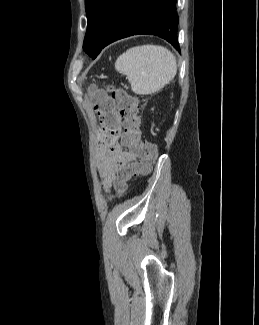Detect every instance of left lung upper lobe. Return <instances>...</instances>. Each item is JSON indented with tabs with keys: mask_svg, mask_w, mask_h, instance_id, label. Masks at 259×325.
I'll return each mask as SVG.
<instances>
[{
	"mask_svg": "<svg viewBox=\"0 0 259 325\" xmlns=\"http://www.w3.org/2000/svg\"><path fill=\"white\" fill-rule=\"evenodd\" d=\"M123 0H85L87 31L83 49L93 59L102 50L105 31Z\"/></svg>",
	"mask_w": 259,
	"mask_h": 325,
	"instance_id": "left-lung-upper-lobe-1",
	"label": "left lung upper lobe"
}]
</instances>
